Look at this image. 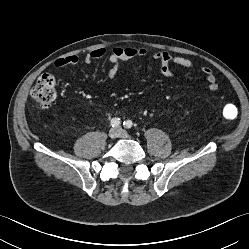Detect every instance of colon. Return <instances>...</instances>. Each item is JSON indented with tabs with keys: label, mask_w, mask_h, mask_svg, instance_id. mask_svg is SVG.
<instances>
[{
	"label": "colon",
	"mask_w": 249,
	"mask_h": 249,
	"mask_svg": "<svg viewBox=\"0 0 249 249\" xmlns=\"http://www.w3.org/2000/svg\"><path fill=\"white\" fill-rule=\"evenodd\" d=\"M32 99L42 108H48L56 98V82L53 75L46 73L39 77L31 92ZM236 107L227 105L223 110L225 119H232L236 115Z\"/></svg>",
	"instance_id": "5ec220e1"
}]
</instances>
